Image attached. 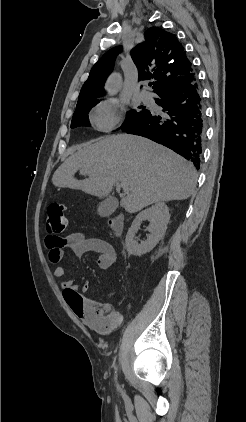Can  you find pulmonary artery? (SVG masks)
I'll return each mask as SVG.
<instances>
[{"label":"pulmonary artery","instance_id":"obj_1","mask_svg":"<svg viewBox=\"0 0 246 422\" xmlns=\"http://www.w3.org/2000/svg\"><path fill=\"white\" fill-rule=\"evenodd\" d=\"M140 99L145 102V103H150L152 102V96L149 92L147 91H142L139 94Z\"/></svg>","mask_w":246,"mask_h":422}]
</instances>
